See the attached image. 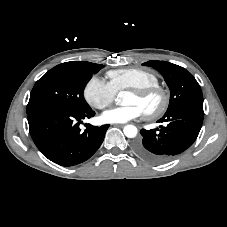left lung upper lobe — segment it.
Segmentation results:
<instances>
[{"instance_id":"1","label":"left lung upper lobe","mask_w":227,"mask_h":227,"mask_svg":"<svg viewBox=\"0 0 227 227\" xmlns=\"http://www.w3.org/2000/svg\"><path fill=\"white\" fill-rule=\"evenodd\" d=\"M150 66L162 74L170 88L171 96L166 113L185 107L203 108V96L196 79L183 67L166 61H148Z\"/></svg>"}]
</instances>
